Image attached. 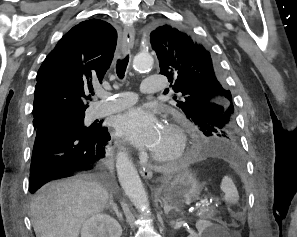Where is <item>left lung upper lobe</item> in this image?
<instances>
[{
  "instance_id": "1",
  "label": "left lung upper lobe",
  "mask_w": 297,
  "mask_h": 237,
  "mask_svg": "<svg viewBox=\"0 0 297 237\" xmlns=\"http://www.w3.org/2000/svg\"><path fill=\"white\" fill-rule=\"evenodd\" d=\"M150 43L159 59L160 73L173 83L175 92L182 93L177 106L205 136L218 137L229 149L238 150L231 92L207 45L170 25L152 31Z\"/></svg>"
}]
</instances>
